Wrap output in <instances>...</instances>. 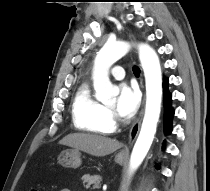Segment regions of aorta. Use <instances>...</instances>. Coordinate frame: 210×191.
Returning <instances> with one entry per match:
<instances>
[{
	"mask_svg": "<svg viewBox=\"0 0 210 191\" xmlns=\"http://www.w3.org/2000/svg\"><path fill=\"white\" fill-rule=\"evenodd\" d=\"M129 42H107L97 54L93 67V85L95 97L108 104L119 94L118 87L109 79L110 67L128 53ZM139 59L144 71L146 83V107L139 136L133 147L129 169L134 172L147 155L156 133L162 102V72L157 53L147 44H139Z\"/></svg>",
	"mask_w": 210,
	"mask_h": 191,
	"instance_id": "1",
	"label": "aorta"
}]
</instances>
